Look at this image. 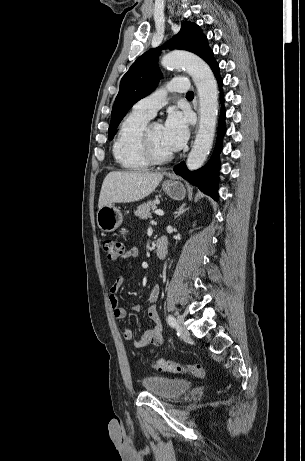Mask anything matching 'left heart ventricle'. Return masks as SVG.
Listing matches in <instances>:
<instances>
[{"instance_id": "obj_1", "label": "left heart ventricle", "mask_w": 305, "mask_h": 461, "mask_svg": "<svg viewBox=\"0 0 305 461\" xmlns=\"http://www.w3.org/2000/svg\"><path fill=\"white\" fill-rule=\"evenodd\" d=\"M151 140L154 146L155 151L158 154L164 155L171 153V151L166 147L163 140V127L158 123H154L151 127Z\"/></svg>"}]
</instances>
